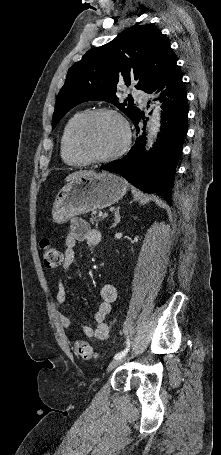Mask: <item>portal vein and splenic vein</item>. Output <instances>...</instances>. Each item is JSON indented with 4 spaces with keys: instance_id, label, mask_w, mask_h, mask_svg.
Here are the masks:
<instances>
[{
    "instance_id": "portal-vein-and-splenic-vein-1",
    "label": "portal vein and splenic vein",
    "mask_w": 221,
    "mask_h": 455,
    "mask_svg": "<svg viewBox=\"0 0 221 455\" xmlns=\"http://www.w3.org/2000/svg\"><path fill=\"white\" fill-rule=\"evenodd\" d=\"M98 216L101 217V218H106L107 217L106 214H102V213H99Z\"/></svg>"
}]
</instances>
